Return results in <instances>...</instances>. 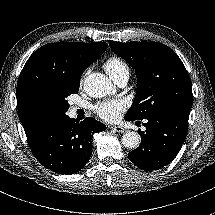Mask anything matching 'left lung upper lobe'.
<instances>
[{
	"label": "left lung upper lobe",
	"instance_id": "5c2ea615",
	"mask_svg": "<svg viewBox=\"0 0 215 215\" xmlns=\"http://www.w3.org/2000/svg\"><path fill=\"white\" fill-rule=\"evenodd\" d=\"M137 75V92L125 117L142 120L161 112L190 110L192 86L188 72L168 46L151 42H110Z\"/></svg>",
	"mask_w": 215,
	"mask_h": 215
}]
</instances>
